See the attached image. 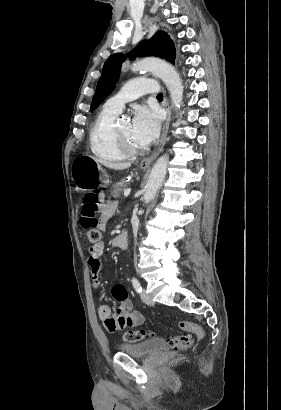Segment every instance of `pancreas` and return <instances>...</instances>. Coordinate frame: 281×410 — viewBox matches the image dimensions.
<instances>
[{
	"label": "pancreas",
	"mask_w": 281,
	"mask_h": 410,
	"mask_svg": "<svg viewBox=\"0 0 281 410\" xmlns=\"http://www.w3.org/2000/svg\"><path fill=\"white\" fill-rule=\"evenodd\" d=\"M128 183L126 180H121L120 182L115 183L112 186L111 194L114 197H120L121 194L125 191L127 188Z\"/></svg>",
	"instance_id": "obj_1"
}]
</instances>
